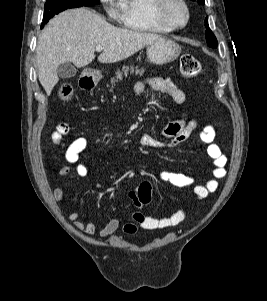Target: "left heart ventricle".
Wrapping results in <instances>:
<instances>
[{"label": "left heart ventricle", "instance_id": "b2bd125f", "mask_svg": "<svg viewBox=\"0 0 267 301\" xmlns=\"http://www.w3.org/2000/svg\"><path fill=\"white\" fill-rule=\"evenodd\" d=\"M170 15L177 23H182L184 21V11L179 4H173L171 6Z\"/></svg>", "mask_w": 267, "mask_h": 301}]
</instances>
